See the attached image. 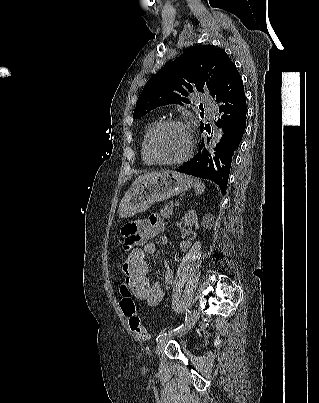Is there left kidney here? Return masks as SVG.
I'll return each mask as SVG.
<instances>
[{
    "label": "left kidney",
    "instance_id": "1",
    "mask_svg": "<svg viewBox=\"0 0 319 403\" xmlns=\"http://www.w3.org/2000/svg\"><path fill=\"white\" fill-rule=\"evenodd\" d=\"M184 222L186 223H190V224H195L196 228H198V220H197V214L194 210L189 211L187 214H185V216L183 217ZM189 243H181L180 246L181 248L185 249L188 247Z\"/></svg>",
    "mask_w": 319,
    "mask_h": 403
}]
</instances>
